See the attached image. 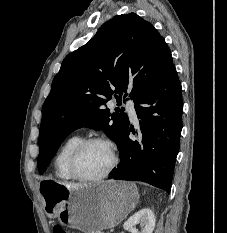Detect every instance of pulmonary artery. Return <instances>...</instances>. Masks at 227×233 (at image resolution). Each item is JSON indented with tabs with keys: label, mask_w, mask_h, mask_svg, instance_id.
<instances>
[{
	"label": "pulmonary artery",
	"mask_w": 227,
	"mask_h": 233,
	"mask_svg": "<svg viewBox=\"0 0 227 233\" xmlns=\"http://www.w3.org/2000/svg\"><path fill=\"white\" fill-rule=\"evenodd\" d=\"M125 107H126V110H127L128 114H129L131 120L136 121L137 120V114H136L134 103L129 100V101L126 102Z\"/></svg>",
	"instance_id": "obj_1"
}]
</instances>
